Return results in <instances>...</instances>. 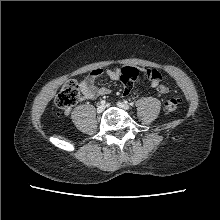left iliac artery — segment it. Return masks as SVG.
<instances>
[{"label": "left iliac artery", "instance_id": "obj_1", "mask_svg": "<svg viewBox=\"0 0 220 220\" xmlns=\"http://www.w3.org/2000/svg\"><path fill=\"white\" fill-rule=\"evenodd\" d=\"M130 105H131V106H133V105H134V103H133V102H131V103H130Z\"/></svg>", "mask_w": 220, "mask_h": 220}]
</instances>
